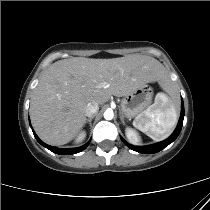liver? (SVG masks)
<instances>
[{"label":"liver","instance_id":"1","mask_svg":"<svg viewBox=\"0 0 210 210\" xmlns=\"http://www.w3.org/2000/svg\"><path fill=\"white\" fill-rule=\"evenodd\" d=\"M152 82L165 89L167 75L162 64L150 56L56 61L44 71L34 90L32 125L45 143L64 145L81 131L88 103L102 105L112 95L123 97Z\"/></svg>","mask_w":210,"mask_h":210}]
</instances>
